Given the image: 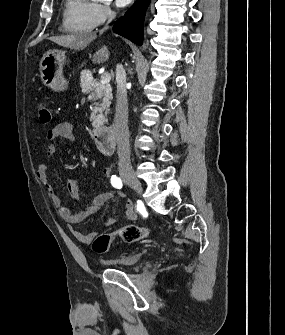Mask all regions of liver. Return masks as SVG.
<instances>
[{
	"mask_svg": "<svg viewBox=\"0 0 285 335\" xmlns=\"http://www.w3.org/2000/svg\"><path fill=\"white\" fill-rule=\"evenodd\" d=\"M96 34H71V36H52L49 38L51 42H55L58 46L63 48H70V50H84L88 44H91L95 40ZM109 50L107 46H103L101 50H98L93 56V64H100V62H107L109 60Z\"/></svg>",
	"mask_w": 285,
	"mask_h": 335,
	"instance_id": "6515ba94",
	"label": "liver"
}]
</instances>
